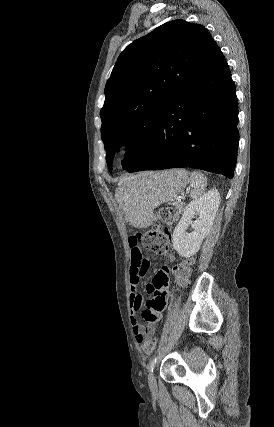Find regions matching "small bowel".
Here are the masks:
<instances>
[{
  "label": "small bowel",
  "instance_id": "obj_1",
  "mask_svg": "<svg viewBox=\"0 0 274 427\" xmlns=\"http://www.w3.org/2000/svg\"><path fill=\"white\" fill-rule=\"evenodd\" d=\"M131 252V266H130V305L132 312V327L135 333V338L138 343H141L144 338H150V333L145 332L142 327H149L150 320H163V311H143L142 318L139 322L136 314L142 307V296L138 292L137 287L141 282L143 276L150 266V261L144 258L139 250L138 245L131 244L128 247ZM167 251H157L158 256H166V264L169 265L174 261V255ZM164 266L162 269H155L154 275H151L147 282V292L155 294L156 298L160 301H145V310H166V301L168 295L166 289L173 282V277L168 275V267Z\"/></svg>",
  "mask_w": 274,
  "mask_h": 427
}]
</instances>
